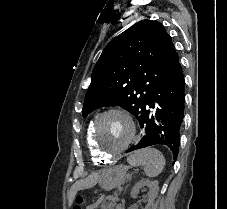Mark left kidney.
<instances>
[{"label":"left kidney","instance_id":"1","mask_svg":"<svg viewBox=\"0 0 227 209\" xmlns=\"http://www.w3.org/2000/svg\"><path fill=\"white\" fill-rule=\"evenodd\" d=\"M145 187H148L149 189V193H148L149 201H148V205H146V209H150L154 199H156L159 193L158 181H149V179H142V181H139V183H136L133 189H131V197L135 199L138 193H140V189H145Z\"/></svg>","mask_w":227,"mask_h":209}]
</instances>
